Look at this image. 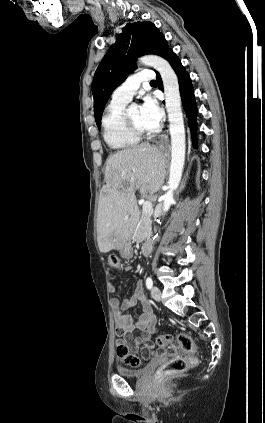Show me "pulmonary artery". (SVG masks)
Listing matches in <instances>:
<instances>
[{
    "label": "pulmonary artery",
    "mask_w": 265,
    "mask_h": 423,
    "mask_svg": "<svg viewBox=\"0 0 265 423\" xmlns=\"http://www.w3.org/2000/svg\"><path fill=\"white\" fill-rule=\"evenodd\" d=\"M154 78L155 74L152 70H141L117 87L113 92L112 99L129 102L140 87V84L151 82Z\"/></svg>",
    "instance_id": "pulmonary-artery-1"
}]
</instances>
